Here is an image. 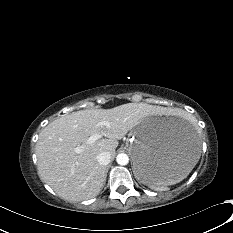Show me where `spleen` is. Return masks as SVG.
I'll return each mask as SVG.
<instances>
[{
	"label": "spleen",
	"mask_w": 233,
	"mask_h": 233,
	"mask_svg": "<svg viewBox=\"0 0 233 233\" xmlns=\"http://www.w3.org/2000/svg\"><path fill=\"white\" fill-rule=\"evenodd\" d=\"M168 184H161V185H151L153 188L164 189Z\"/></svg>",
	"instance_id": "3e777b00"
}]
</instances>
